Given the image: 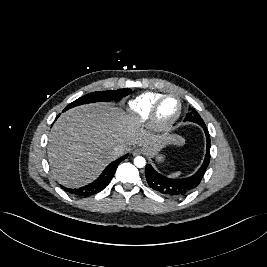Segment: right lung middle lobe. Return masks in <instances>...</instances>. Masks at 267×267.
I'll use <instances>...</instances> for the list:
<instances>
[{"mask_svg": "<svg viewBox=\"0 0 267 267\" xmlns=\"http://www.w3.org/2000/svg\"><path fill=\"white\" fill-rule=\"evenodd\" d=\"M131 90L129 88L119 89L116 91H97L82 96L70 103L63 111L73 108L78 105L93 103V102H109L112 100L123 98L129 95Z\"/></svg>", "mask_w": 267, "mask_h": 267, "instance_id": "1", "label": "right lung middle lobe"}]
</instances>
